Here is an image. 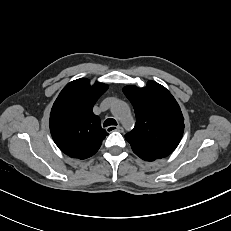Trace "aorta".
Instances as JSON below:
<instances>
[{
	"mask_svg": "<svg viewBox=\"0 0 231 231\" xmlns=\"http://www.w3.org/2000/svg\"><path fill=\"white\" fill-rule=\"evenodd\" d=\"M112 113L121 121L125 122L129 119L130 109L127 103L122 100H116L111 106Z\"/></svg>",
	"mask_w": 231,
	"mask_h": 231,
	"instance_id": "aorta-1",
	"label": "aorta"
}]
</instances>
